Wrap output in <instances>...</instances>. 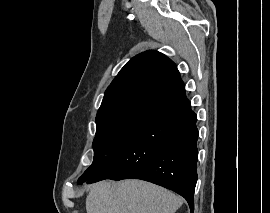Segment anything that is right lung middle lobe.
I'll return each mask as SVG.
<instances>
[{
  "instance_id": "right-lung-middle-lobe-1",
  "label": "right lung middle lobe",
  "mask_w": 270,
  "mask_h": 213,
  "mask_svg": "<svg viewBox=\"0 0 270 213\" xmlns=\"http://www.w3.org/2000/svg\"><path fill=\"white\" fill-rule=\"evenodd\" d=\"M155 106L156 104L148 102H134L96 116L93 163L79 178L78 183L99 173Z\"/></svg>"
}]
</instances>
